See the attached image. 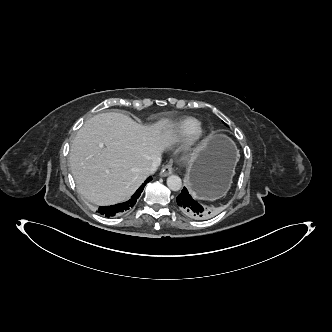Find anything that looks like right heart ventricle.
Instances as JSON below:
<instances>
[{
    "instance_id": "1",
    "label": "right heart ventricle",
    "mask_w": 332,
    "mask_h": 332,
    "mask_svg": "<svg viewBox=\"0 0 332 332\" xmlns=\"http://www.w3.org/2000/svg\"><path fill=\"white\" fill-rule=\"evenodd\" d=\"M199 125V120L193 117H185L175 121L170 126L168 135L174 140H179L188 137Z\"/></svg>"
}]
</instances>
